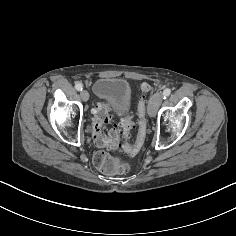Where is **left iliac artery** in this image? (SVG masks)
<instances>
[{"label": "left iliac artery", "instance_id": "left-iliac-artery-1", "mask_svg": "<svg viewBox=\"0 0 236 236\" xmlns=\"http://www.w3.org/2000/svg\"><path fill=\"white\" fill-rule=\"evenodd\" d=\"M170 94H171V89H170V88H166V89L163 91V97H164V99H166Z\"/></svg>", "mask_w": 236, "mask_h": 236}]
</instances>
